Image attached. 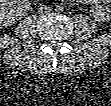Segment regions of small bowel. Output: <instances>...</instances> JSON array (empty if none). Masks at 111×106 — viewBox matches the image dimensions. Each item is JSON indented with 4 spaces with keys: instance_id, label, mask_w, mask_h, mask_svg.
I'll return each instance as SVG.
<instances>
[{
    "instance_id": "obj_1",
    "label": "small bowel",
    "mask_w": 111,
    "mask_h": 106,
    "mask_svg": "<svg viewBox=\"0 0 111 106\" xmlns=\"http://www.w3.org/2000/svg\"><path fill=\"white\" fill-rule=\"evenodd\" d=\"M83 2H97V1H83Z\"/></svg>"
}]
</instances>
